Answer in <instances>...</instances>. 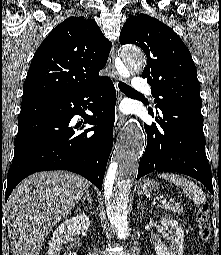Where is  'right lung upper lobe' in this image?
I'll return each instance as SVG.
<instances>
[{"label":"right lung upper lobe","mask_w":221,"mask_h":255,"mask_svg":"<svg viewBox=\"0 0 221 255\" xmlns=\"http://www.w3.org/2000/svg\"><path fill=\"white\" fill-rule=\"evenodd\" d=\"M111 42L94 20L69 17L39 46L23 85L22 103L69 94L104 77Z\"/></svg>","instance_id":"cb5924a9"}]
</instances>
